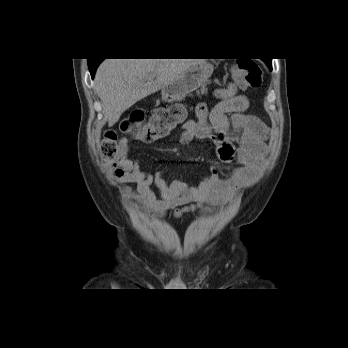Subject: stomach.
<instances>
[{
    "instance_id": "stomach-1",
    "label": "stomach",
    "mask_w": 348,
    "mask_h": 348,
    "mask_svg": "<svg viewBox=\"0 0 348 348\" xmlns=\"http://www.w3.org/2000/svg\"><path fill=\"white\" fill-rule=\"evenodd\" d=\"M213 70V65L204 60L191 66L162 88V99L168 103L181 101L187 94L199 89L211 77Z\"/></svg>"
}]
</instances>
